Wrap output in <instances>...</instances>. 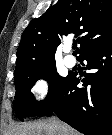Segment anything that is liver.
<instances>
[{
	"mask_svg": "<svg viewBox=\"0 0 112 135\" xmlns=\"http://www.w3.org/2000/svg\"><path fill=\"white\" fill-rule=\"evenodd\" d=\"M13 135H79V133L56 118H50L16 127Z\"/></svg>",
	"mask_w": 112,
	"mask_h": 135,
	"instance_id": "1",
	"label": "liver"
}]
</instances>
